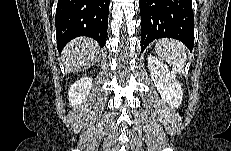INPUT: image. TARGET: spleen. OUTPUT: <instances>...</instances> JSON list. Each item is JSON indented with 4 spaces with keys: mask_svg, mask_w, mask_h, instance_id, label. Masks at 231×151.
<instances>
[{
    "mask_svg": "<svg viewBox=\"0 0 231 151\" xmlns=\"http://www.w3.org/2000/svg\"><path fill=\"white\" fill-rule=\"evenodd\" d=\"M155 50L157 54L172 67L175 74L183 72L186 57V48L178 40L161 39L156 42Z\"/></svg>",
    "mask_w": 231,
    "mask_h": 151,
    "instance_id": "spleen-1",
    "label": "spleen"
}]
</instances>
